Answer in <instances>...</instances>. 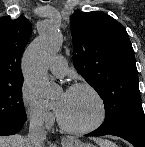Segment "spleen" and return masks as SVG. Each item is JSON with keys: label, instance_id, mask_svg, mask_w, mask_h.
<instances>
[{"label": "spleen", "instance_id": "obj_1", "mask_svg": "<svg viewBox=\"0 0 145 147\" xmlns=\"http://www.w3.org/2000/svg\"><path fill=\"white\" fill-rule=\"evenodd\" d=\"M105 147H114L115 146V144H113V143H111V142H109L108 144H106V145H104Z\"/></svg>", "mask_w": 145, "mask_h": 147}]
</instances>
